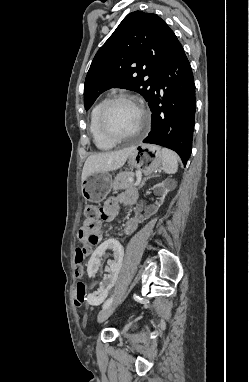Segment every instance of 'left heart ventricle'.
Wrapping results in <instances>:
<instances>
[{
  "label": "left heart ventricle",
  "instance_id": "obj_1",
  "mask_svg": "<svg viewBox=\"0 0 249 382\" xmlns=\"http://www.w3.org/2000/svg\"><path fill=\"white\" fill-rule=\"evenodd\" d=\"M141 115L138 108L130 102L113 104L106 115V125L112 134L127 136L135 133L139 126Z\"/></svg>",
  "mask_w": 249,
  "mask_h": 382
}]
</instances>
